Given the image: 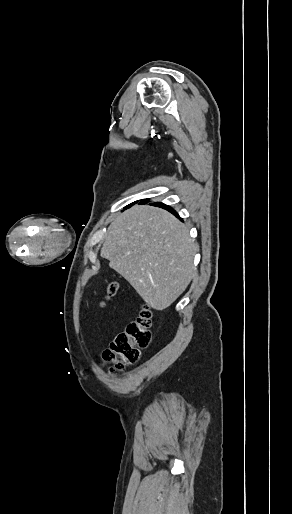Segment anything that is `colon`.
<instances>
[{"mask_svg":"<svg viewBox=\"0 0 292 514\" xmlns=\"http://www.w3.org/2000/svg\"><path fill=\"white\" fill-rule=\"evenodd\" d=\"M118 285L107 286V297L117 293ZM153 339V318L148 309L139 312L128 324L127 331L118 335L104 350L103 361L111 364L109 372L116 374L125 366L136 363L141 351L147 349Z\"/></svg>","mask_w":292,"mask_h":514,"instance_id":"colon-1","label":"colon"}]
</instances>
